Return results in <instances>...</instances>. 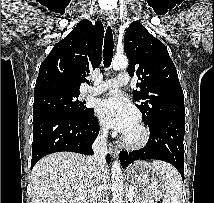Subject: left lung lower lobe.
<instances>
[{
  "instance_id": "1",
  "label": "left lung lower lobe",
  "mask_w": 214,
  "mask_h": 203,
  "mask_svg": "<svg viewBox=\"0 0 214 203\" xmlns=\"http://www.w3.org/2000/svg\"><path fill=\"white\" fill-rule=\"evenodd\" d=\"M148 126L150 137L144 148L120 152L122 167L126 168L136 160H162L172 164L184 179L185 116H163Z\"/></svg>"
}]
</instances>
